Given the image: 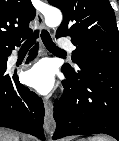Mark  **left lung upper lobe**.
<instances>
[{
	"instance_id": "1",
	"label": "left lung upper lobe",
	"mask_w": 119,
	"mask_h": 141,
	"mask_svg": "<svg viewBox=\"0 0 119 141\" xmlns=\"http://www.w3.org/2000/svg\"><path fill=\"white\" fill-rule=\"evenodd\" d=\"M63 13L56 37L70 36L76 46L72 59L81 65H119V34L113 8L108 0H48ZM75 72L69 64L63 65Z\"/></svg>"
}]
</instances>
